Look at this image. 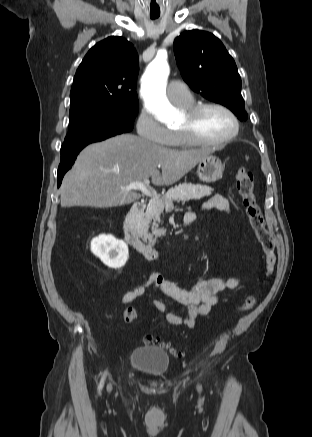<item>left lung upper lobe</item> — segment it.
<instances>
[{"label": "left lung upper lobe", "mask_w": 312, "mask_h": 437, "mask_svg": "<svg viewBox=\"0 0 312 437\" xmlns=\"http://www.w3.org/2000/svg\"><path fill=\"white\" fill-rule=\"evenodd\" d=\"M174 53L183 79L195 92L247 120L235 61L217 37L196 29L186 31L175 39Z\"/></svg>", "instance_id": "1"}]
</instances>
